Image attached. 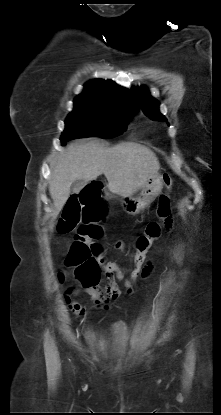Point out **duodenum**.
<instances>
[{"label":"duodenum","mask_w":221,"mask_h":415,"mask_svg":"<svg viewBox=\"0 0 221 415\" xmlns=\"http://www.w3.org/2000/svg\"><path fill=\"white\" fill-rule=\"evenodd\" d=\"M97 185L100 187V186H102V184H101V182H97Z\"/></svg>","instance_id":"obj_1"}]
</instances>
